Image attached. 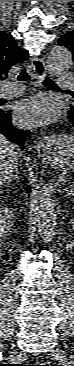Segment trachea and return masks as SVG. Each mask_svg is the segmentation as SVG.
Returning <instances> with one entry per match:
<instances>
[{
  "label": "trachea",
  "instance_id": "3493384b",
  "mask_svg": "<svg viewBox=\"0 0 74 366\" xmlns=\"http://www.w3.org/2000/svg\"><path fill=\"white\" fill-rule=\"evenodd\" d=\"M30 74L26 71V69H23L20 74L17 77L18 81L24 82L30 79ZM43 84L45 86H49V87H53V88H58V86L56 85V83H54L51 79H49L48 77H45V79L43 80Z\"/></svg>",
  "mask_w": 74,
  "mask_h": 366
}]
</instances>
